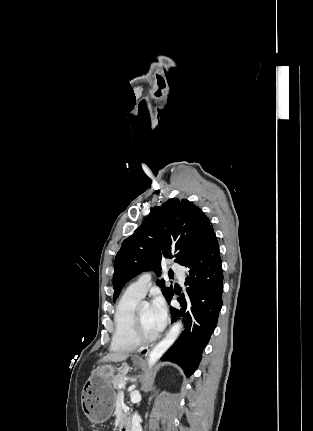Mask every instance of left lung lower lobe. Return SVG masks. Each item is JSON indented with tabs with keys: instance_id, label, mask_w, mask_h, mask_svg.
Returning a JSON list of instances; mask_svg holds the SVG:
<instances>
[{
	"instance_id": "left-lung-lower-lobe-1",
	"label": "left lung lower lobe",
	"mask_w": 313,
	"mask_h": 431,
	"mask_svg": "<svg viewBox=\"0 0 313 431\" xmlns=\"http://www.w3.org/2000/svg\"><path fill=\"white\" fill-rule=\"evenodd\" d=\"M184 266L189 270L185 281L188 285L187 296L178 298L181 310L170 308L172 321L179 316L185 317L184 331L162 360L178 364L189 377L199 365L222 307V262L212 226L208 228L195 255ZM173 295L174 291L168 302Z\"/></svg>"
}]
</instances>
